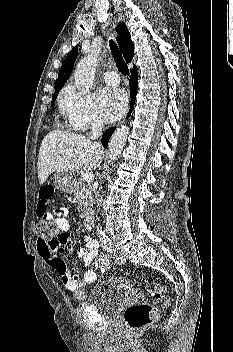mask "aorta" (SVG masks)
<instances>
[{
	"mask_svg": "<svg viewBox=\"0 0 233 352\" xmlns=\"http://www.w3.org/2000/svg\"><path fill=\"white\" fill-rule=\"evenodd\" d=\"M97 63L98 52L95 51L91 52L79 61L74 73L75 86L78 91L82 93H88L92 89ZM128 134L129 128L126 125H122L121 127L117 128L113 133L108 144L109 158L111 162L116 161L120 156ZM96 231L100 241L102 243L107 242V236L99 224Z\"/></svg>",
	"mask_w": 233,
	"mask_h": 352,
	"instance_id": "1",
	"label": "aorta"
}]
</instances>
